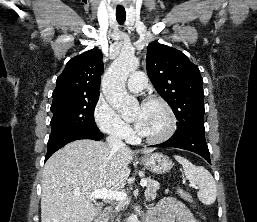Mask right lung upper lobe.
Returning a JSON list of instances; mask_svg holds the SVG:
<instances>
[{"mask_svg":"<svg viewBox=\"0 0 257 222\" xmlns=\"http://www.w3.org/2000/svg\"><path fill=\"white\" fill-rule=\"evenodd\" d=\"M102 52L94 48L73 57L57 78L53 101L83 99L99 95L103 71Z\"/></svg>","mask_w":257,"mask_h":222,"instance_id":"obj_1","label":"right lung upper lobe"}]
</instances>
